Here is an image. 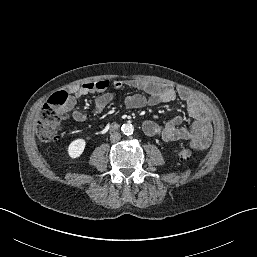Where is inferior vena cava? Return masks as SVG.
<instances>
[{"label":"inferior vena cava","instance_id":"inferior-vena-cava-1","mask_svg":"<svg viewBox=\"0 0 257 257\" xmlns=\"http://www.w3.org/2000/svg\"><path fill=\"white\" fill-rule=\"evenodd\" d=\"M120 139H121V135H120V133H118V132H113V133L110 135V140H111L112 143H116V142H118Z\"/></svg>","mask_w":257,"mask_h":257}]
</instances>
